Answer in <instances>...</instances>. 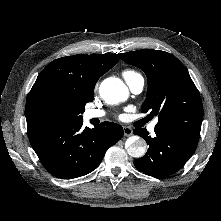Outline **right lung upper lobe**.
I'll return each instance as SVG.
<instances>
[{"mask_svg": "<svg viewBox=\"0 0 221 221\" xmlns=\"http://www.w3.org/2000/svg\"><path fill=\"white\" fill-rule=\"evenodd\" d=\"M119 58L116 54L66 56L52 61L38 75L25 107L28 136L47 127L44 105L60 98L74 105L85 106L93 100L98 79L110 70Z\"/></svg>", "mask_w": 221, "mask_h": 221, "instance_id": "obj_1", "label": "right lung upper lobe"}]
</instances>
